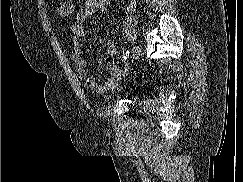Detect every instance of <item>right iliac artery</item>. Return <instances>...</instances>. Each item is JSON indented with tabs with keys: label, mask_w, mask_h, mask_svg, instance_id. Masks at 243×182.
Segmentation results:
<instances>
[{
	"label": "right iliac artery",
	"mask_w": 243,
	"mask_h": 182,
	"mask_svg": "<svg viewBox=\"0 0 243 182\" xmlns=\"http://www.w3.org/2000/svg\"><path fill=\"white\" fill-rule=\"evenodd\" d=\"M129 54H130L129 51H126V52H125V54H124V59H125V60L129 57Z\"/></svg>",
	"instance_id": "obj_1"
}]
</instances>
